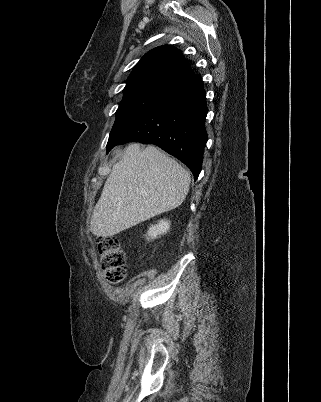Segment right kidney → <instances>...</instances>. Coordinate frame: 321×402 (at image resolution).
Here are the masks:
<instances>
[{"mask_svg": "<svg viewBox=\"0 0 321 402\" xmlns=\"http://www.w3.org/2000/svg\"><path fill=\"white\" fill-rule=\"evenodd\" d=\"M170 228V221L160 220L157 224L152 225L147 233V239H156L159 235L167 233Z\"/></svg>", "mask_w": 321, "mask_h": 402, "instance_id": "right-kidney-1", "label": "right kidney"}]
</instances>
